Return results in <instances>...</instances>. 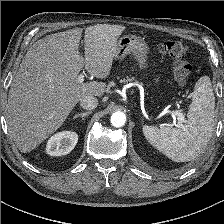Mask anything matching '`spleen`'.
I'll return each mask as SVG.
<instances>
[{
  "label": "spleen",
  "instance_id": "3e777b00",
  "mask_svg": "<svg viewBox=\"0 0 224 224\" xmlns=\"http://www.w3.org/2000/svg\"><path fill=\"white\" fill-rule=\"evenodd\" d=\"M215 98L208 76L200 77L192 92L187 120L176 127L144 126L148 142L175 162L196 158L207 146L214 126Z\"/></svg>",
  "mask_w": 224,
  "mask_h": 224
}]
</instances>
